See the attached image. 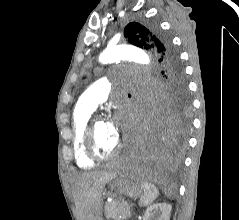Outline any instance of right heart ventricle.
Instances as JSON below:
<instances>
[{
	"mask_svg": "<svg viewBox=\"0 0 239 220\" xmlns=\"http://www.w3.org/2000/svg\"><path fill=\"white\" fill-rule=\"evenodd\" d=\"M93 109L85 107L78 103L72 115V146L76 164L84 169L92 168L95 164L86 153L84 145L85 129L90 119Z\"/></svg>",
	"mask_w": 239,
	"mask_h": 220,
	"instance_id": "right-heart-ventricle-1",
	"label": "right heart ventricle"
}]
</instances>
